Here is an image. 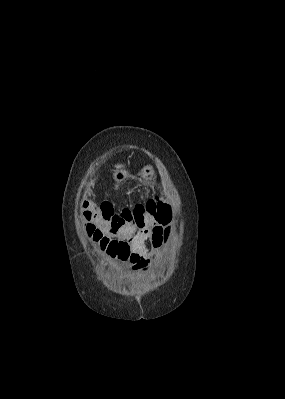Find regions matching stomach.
<instances>
[{
  "label": "stomach",
  "instance_id": "obj_1",
  "mask_svg": "<svg viewBox=\"0 0 285 399\" xmlns=\"http://www.w3.org/2000/svg\"><path fill=\"white\" fill-rule=\"evenodd\" d=\"M141 180L143 182L149 183L155 178V171L151 165L145 166L141 171ZM128 177V173L125 170L118 169L115 171L113 178L116 182H123Z\"/></svg>",
  "mask_w": 285,
  "mask_h": 399
}]
</instances>
